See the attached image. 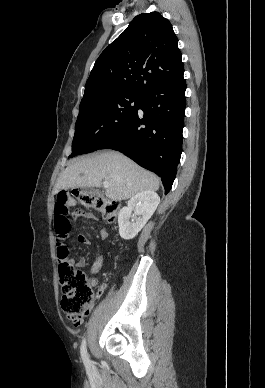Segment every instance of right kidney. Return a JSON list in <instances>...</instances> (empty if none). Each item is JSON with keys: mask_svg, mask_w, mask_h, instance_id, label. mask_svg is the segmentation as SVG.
Segmentation results:
<instances>
[{"mask_svg": "<svg viewBox=\"0 0 265 388\" xmlns=\"http://www.w3.org/2000/svg\"><path fill=\"white\" fill-rule=\"evenodd\" d=\"M160 198L156 192L145 190L130 198L128 206L118 214L119 234L123 240H132L154 214Z\"/></svg>", "mask_w": 265, "mask_h": 388, "instance_id": "obj_1", "label": "right kidney"}]
</instances>
